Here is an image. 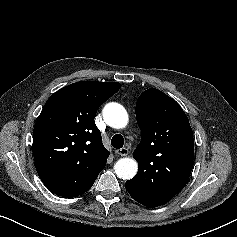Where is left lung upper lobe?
Returning <instances> with one entry per match:
<instances>
[{"instance_id": "left-lung-upper-lobe-1", "label": "left lung upper lobe", "mask_w": 237, "mask_h": 237, "mask_svg": "<svg viewBox=\"0 0 237 237\" xmlns=\"http://www.w3.org/2000/svg\"><path fill=\"white\" fill-rule=\"evenodd\" d=\"M136 117L142 137L133 156L139 168L126 189L137 202L155 208L186 185L193 166V132L181 106L158 89L139 96Z\"/></svg>"}]
</instances>
